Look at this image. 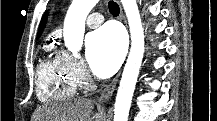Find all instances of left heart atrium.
Listing matches in <instances>:
<instances>
[{
    "label": "left heart atrium",
    "mask_w": 217,
    "mask_h": 121,
    "mask_svg": "<svg viewBox=\"0 0 217 121\" xmlns=\"http://www.w3.org/2000/svg\"><path fill=\"white\" fill-rule=\"evenodd\" d=\"M126 52V38L115 24H106L86 38V55L95 75L106 78L121 64Z\"/></svg>",
    "instance_id": "obj_1"
}]
</instances>
